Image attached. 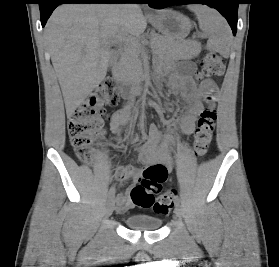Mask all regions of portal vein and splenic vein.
Masks as SVG:
<instances>
[{"mask_svg":"<svg viewBox=\"0 0 279 267\" xmlns=\"http://www.w3.org/2000/svg\"><path fill=\"white\" fill-rule=\"evenodd\" d=\"M132 41V40H131ZM106 43L110 44V43H117V44H121L122 43V40H110V41H107Z\"/></svg>","mask_w":279,"mask_h":267,"instance_id":"1","label":"portal vein and splenic vein"}]
</instances>
